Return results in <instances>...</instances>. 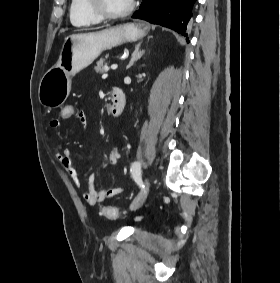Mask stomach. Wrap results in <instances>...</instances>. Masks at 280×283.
<instances>
[{
    "instance_id": "obj_1",
    "label": "stomach",
    "mask_w": 280,
    "mask_h": 283,
    "mask_svg": "<svg viewBox=\"0 0 280 283\" xmlns=\"http://www.w3.org/2000/svg\"><path fill=\"white\" fill-rule=\"evenodd\" d=\"M149 29L144 23H126L98 32L66 37L56 65L40 81V103L47 108L61 106L70 93L71 79L76 73L88 67L103 51L142 39Z\"/></svg>"
}]
</instances>
